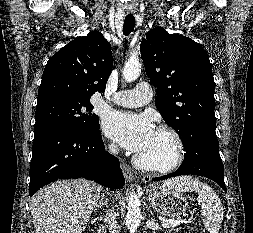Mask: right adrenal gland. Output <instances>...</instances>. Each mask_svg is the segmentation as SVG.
I'll list each match as a JSON object with an SVG mask.
<instances>
[{
  "label": "right adrenal gland",
  "mask_w": 253,
  "mask_h": 233,
  "mask_svg": "<svg viewBox=\"0 0 253 233\" xmlns=\"http://www.w3.org/2000/svg\"><path fill=\"white\" fill-rule=\"evenodd\" d=\"M106 205H107V200H105L104 195H102L101 199L95 206L94 213H96L99 208H104V206Z\"/></svg>",
  "instance_id": "2a0ac1e0"
}]
</instances>
